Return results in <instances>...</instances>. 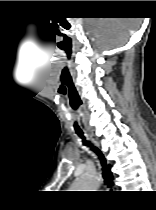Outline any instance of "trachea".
Listing matches in <instances>:
<instances>
[{
  "label": "trachea",
  "instance_id": "1",
  "mask_svg": "<svg viewBox=\"0 0 156 210\" xmlns=\"http://www.w3.org/2000/svg\"><path fill=\"white\" fill-rule=\"evenodd\" d=\"M76 133L82 139L83 144L86 145V146H89L98 155V157L101 161V165H102V170H103L102 176L104 178V182H105L106 185L110 186V182H109V179H108V174H107V171H106V161H105V158H104L103 154L100 152V150H98L97 148L92 146V144L89 141L86 140L82 131H77Z\"/></svg>",
  "mask_w": 156,
  "mask_h": 210
}]
</instances>
